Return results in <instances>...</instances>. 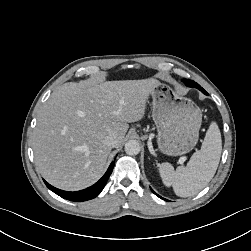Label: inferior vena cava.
<instances>
[{"label": "inferior vena cava", "instance_id": "602c4592", "mask_svg": "<svg viewBox=\"0 0 251 251\" xmlns=\"http://www.w3.org/2000/svg\"><path fill=\"white\" fill-rule=\"evenodd\" d=\"M118 140L115 134L109 135L105 138V144L111 148H115L117 146Z\"/></svg>", "mask_w": 251, "mask_h": 251}]
</instances>
